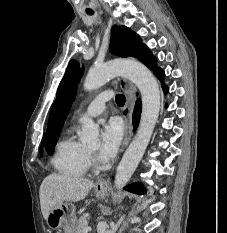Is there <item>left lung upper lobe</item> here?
Returning <instances> with one entry per match:
<instances>
[{
  "instance_id": "5c2ea615",
  "label": "left lung upper lobe",
  "mask_w": 227,
  "mask_h": 233,
  "mask_svg": "<svg viewBox=\"0 0 227 233\" xmlns=\"http://www.w3.org/2000/svg\"><path fill=\"white\" fill-rule=\"evenodd\" d=\"M111 52L120 57L138 58L156 74L161 68L156 66V58L141 42L140 37L126 26L115 25L111 31ZM82 76V70L77 61L71 60L61 80L56 100L54 102L47 130L46 151L53 154V149L58 141L60 130L70 111L72 102L77 92V85Z\"/></svg>"
}]
</instances>
